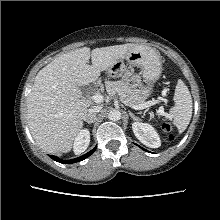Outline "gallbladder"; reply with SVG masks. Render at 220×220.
Returning <instances> with one entry per match:
<instances>
[{
  "instance_id": "1",
  "label": "gallbladder",
  "mask_w": 220,
  "mask_h": 220,
  "mask_svg": "<svg viewBox=\"0 0 220 220\" xmlns=\"http://www.w3.org/2000/svg\"><path fill=\"white\" fill-rule=\"evenodd\" d=\"M80 89H81V90H85V89H86V87H82V86H81V87H80Z\"/></svg>"
}]
</instances>
